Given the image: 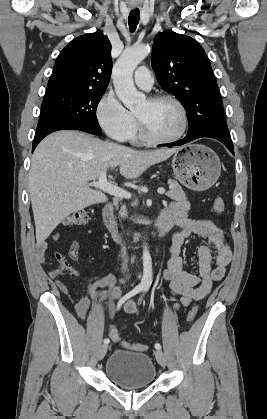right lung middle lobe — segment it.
Masks as SVG:
<instances>
[{
    "label": "right lung middle lobe",
    "mask_w": 267,
    "mask_h": 419,
    "mask_svg": "<svg viewBox=\"0 0 267 419\" xmlns=\"http://www.w3.org/2000/svg\"><path fill=\"white\" fill-rule=\"evenodd\" d=\"M105 91L60 90L45 94L41 108L73 122L99 129L98 103Z\"/></svg>",
    "instance_id": "dd1d6c3e"
}]
</instances>
